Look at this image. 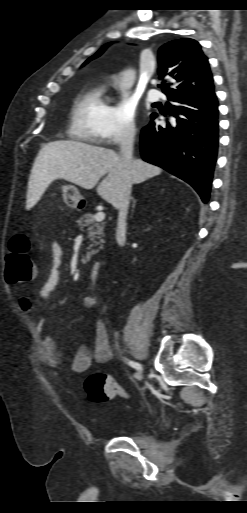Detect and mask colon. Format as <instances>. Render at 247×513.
I'll use <instances>...</instances> for the list:
<instances>
[{
	"mask_svg": "<svg viewBox=\"0 0 247 513\" xmlns=\"http://www.w3.org/2000/svg\"><path fill=\"white\" fill-rule=\"evenodd\" d=\"M29 249L30 242L25 235H16L12 238L5 268V279L8 283L30 281L35 276ZM84 388L89 400L94 403H105L115 397L130 398V394L106 373L97 372L88 376Z\"/></svg>",
	"mask_w": 247,
	"mask_h": 513,
	"instance_id": "obj_1",
	"label": "colon"
}]
</instances>
